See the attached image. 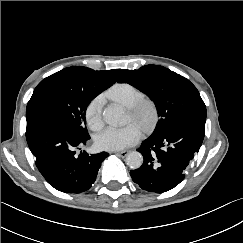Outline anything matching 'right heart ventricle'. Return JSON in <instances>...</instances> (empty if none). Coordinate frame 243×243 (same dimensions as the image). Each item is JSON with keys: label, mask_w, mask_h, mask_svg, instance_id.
Segmentation results:
<instances>
[{"label": "right heart ventricle", "mask_w": 243, "mask_h": 243, "mask_svg": "<svg viewBox=\"0 0 243 243\" xmlns=\"http://www.w3.org/2000/svg\"><path fill=\"white\" fill-rule=\"evenodd\" d=\"M107 96L127 107L134 105L145 96V93L137 86L130 83H117L108 91Z\"/></svg>", "instance_id": "e07e8e85"}]
</instances>
